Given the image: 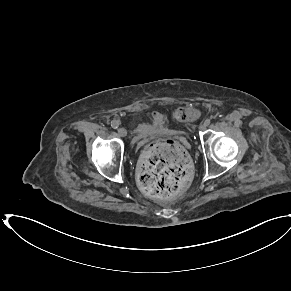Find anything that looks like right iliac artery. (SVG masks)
<instances>
[{"label":"right iliac artery","mask_w":291,"mask_h":291,"mask_svg":"<svg viewBox=\"0 0 291 291\" xmlns=\"http://www.w3.org/2000/svg\"><path fill=\"white\" fill-rule=\"evenodd\" d=\"M118 126H119V123H118L117 121H112V122H111V127H112L113 129H117Z\"/></svg>","instance_id":"right-iliac-artery-1"}]
</instances>
